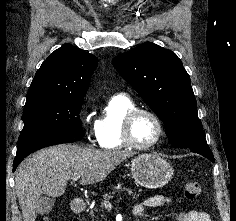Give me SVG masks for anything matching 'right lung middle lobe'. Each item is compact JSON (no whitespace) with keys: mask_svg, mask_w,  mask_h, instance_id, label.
Segmentation results:
<instances>
[{"mask_svg":"<svg viewBox=\"0 0 236 221\" xmlns=\"http://www.w3.org/2000/svg\"><path fill=\"white\" fill-rule=\"evenodd\" d=\"M83 96H27L18 143L42 136L83 137L79 113Z\"/></svg>","mask_w":236,"mask_h":221,"instance_id":"1","label":"right lung middle lobe"}]
</instances>
